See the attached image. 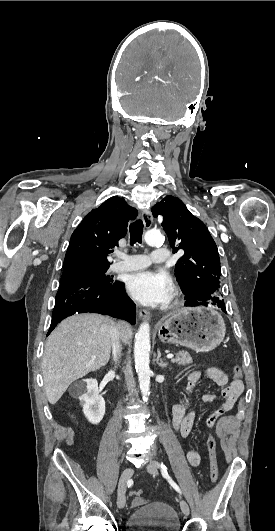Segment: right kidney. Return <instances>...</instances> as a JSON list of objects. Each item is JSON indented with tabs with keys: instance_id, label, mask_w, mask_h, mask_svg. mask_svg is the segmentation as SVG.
Segmentation results:
<instances>
[{
	"instance_id": "obj_1",
	"label": "right kidney",
	"mask_w": 275,
	"mask_h": 531,
	"mask_svg": "<svg viewBox=\"0 0 275 531\" xmlns=\"http://www.w3.org/2000/svg\"><path fill=\"white\" fill-rule=\"evenodd\" d=\"M71 397H77L83 413L92 425H98L105 415V401L98 391L96 379L76 381L69 389Z\"/></svg>"
}]
</instances>
